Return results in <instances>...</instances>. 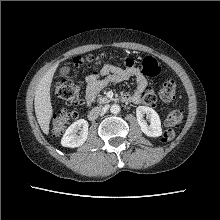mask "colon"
Segmentation results:
<instances>
[{
	"instance_id": "5ec220e1",
	"label": "colon",
	"mask_w": 220,
	"mask_h": 220,
	"mask_svg": "<svg viewBox=\"0 0 220 220\" xmlns=\"http://www.w3.org/2000/svg\"><path fill=\"white\" fill-rule=\"evenodd\" d=\"M108 59H114L115 56H105ZM104 56H87V57H77L74 59V64L77 66H96L104 62ZM142 72L149 76L155 77L160 74L161 66L158 61L147 56L142 60L141 63ZM176 83L175 81L169 79L166 80L159 92L160 99L163 102H171L176 96ZM53 95L65 102L67 105L73 106L72 110H63L55 113L52 117V127L56 134L61 133L67 125L78 117L77 109L81 106V90L78 85L69 81L67 79H62L58 81L52 89ZM156 102V97L152 93H147L143 96V103L146 105H153ZM183 120V113L180 110L170 111L165 119V124L167 129L163 133V140L170 141L175 136V131L173 127L177 126Z\"/></svg>"
}]
</instances>
